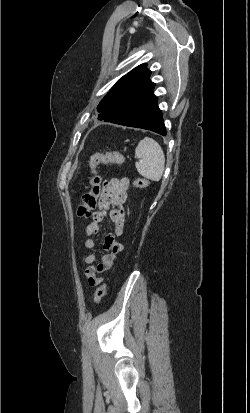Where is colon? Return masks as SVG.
Listing matches in <instances>:
<instances>
[{
	"label": "colon",
	"mask_w": 250,
	"mask_h": 413,
	"mask_svg": "<svg viewBox=\"0 0 250 413\" xmlns=\"http://www.w3.org/2000/svg\"><path fill=\"white\" fill-rule=\"evenodd\" d=\"M125 162L124 157L116 152L105 154H94L89 161L91 169L90 177V191L85 193L82 198V202L77 209V214L80 217L90 216L92 210H94L102 195V178L97 172V167L100 164H123ZM136 188H145L149 185V181L144 178H137L133 182ZM106 294V284H102L97 287L94 300L97 304L101 302Z\"/></svg>",
	"instance_id": "colon-1"
}]
</instances>
